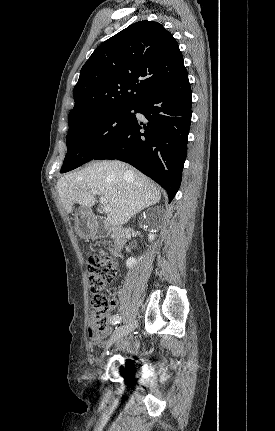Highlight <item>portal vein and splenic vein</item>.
Wrapping results in <instances>:
<instances>
[{
  "instance_id": "portal-vein-and-splenic-vein-1",
  "label": "portal vein and splenic vein",
  "mask_w": 275,
  "mask_h": 431,
  "mask_svg": "<svg viewBox=\"0 0 275 431\" xmlns=\"http://www.w3.org/2000/svg\"><path fill=\"white\" fill-rule=\"evenodd\" d=\"M91 193L94 195H101L100 192H98L97 190H92ZM100 200L101 204L103 205V211L105 213H109L111 211V206L107 203L106 199L102 195Z\"/></svg>"
}]
</instances>
